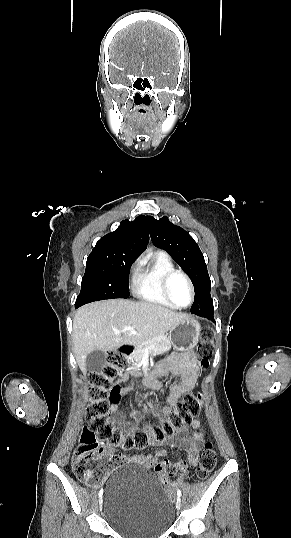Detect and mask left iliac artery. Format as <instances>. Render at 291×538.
<instances>
[{
	"label": "left iliac artery",
	"mask_w": 291,
	"mask_h": 538,
	"mask_svg": "<svg viewBox=\"0 0 291 538\" xmlns=\"http://www.w3.org/2000/svg\"><path fill=\"white\" fill-rule=\"evenodd\" d=\"M177 496L180 498L181 497V490L180 489H177Z\"/></svg>",
	"instance_id": "1"
}]
</instances>
